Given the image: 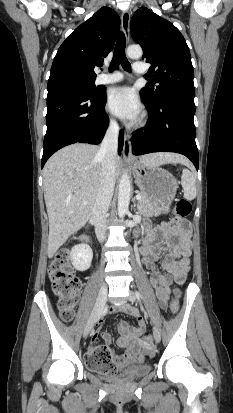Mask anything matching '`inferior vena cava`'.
Returning <instances> with one entry per match:
<instances>
[{"label":"inferior vena cava","mask_w":233,"mask_h":413,"mask_svg":"<svg viewBox=\"0 0 233 413\" xmlns=\"http://www.w3.org/2000/svg\"><path fill=\"white\" fill-rule=\"evenodd\" d=\"M119 127L111 120L99 149L102 159L100 186L92 208L97 239L103 242L106 238V218L115 187V163L117 158Z\"/></svg>","instance_id":"602c4592"}]
</instances>
